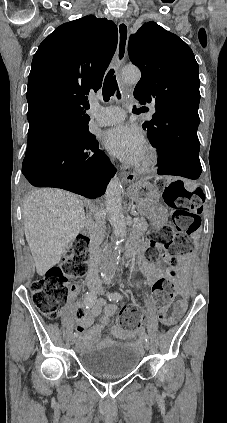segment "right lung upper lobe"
<instances>
[{"instance_id": "right-lung-upper-lobe-1", "label": "right lung upper lobe", "mask_w": 227, "mask_h": 423, "mask_svg": "<svg viewBox=\"0 0 227 423\" xmlns=\"http://www.w3.org/2000/svg\"><path fill=\"white\" fill-rule=\"evenodd\" d=\"M117 26L88 15L59 26L39 46L28 79L27 155L89 134V91L101 88Z\"/></svg>"}]
</instances>
